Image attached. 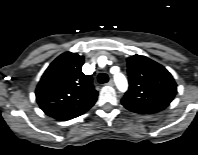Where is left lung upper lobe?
I'll return each instance as SVG.
<instances>
[{
	"instance_id": "left-lung-upper-lobe-1",
	"label": "left lung upper lobe",
	"mask_w": 198,
	"mask_h": 155,
	"mask_svg": "<svg viewBox=\"0 0 198 155\" xmlns=\"http://www.w3.org/2000/svg\"><path fill=\"white\" fill-rule=\"evenodd\" d=\"M127 62L129 89L122 98L124 107L140 114L165 109L177 93L172 75L145 56L134 55Z\"/></svg>"
}]
</instances>
